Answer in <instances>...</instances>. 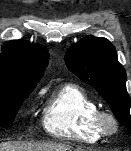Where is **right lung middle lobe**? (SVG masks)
<instances>
[{"instance_id": "1", "label": "right lung middle lobe", "mask_w": 131, "mask_h": 151, "mask_svg": "<svg viewBox=\"0 0 131 151\" xmlns=\"http://www.w3.org/2000/svg\"><path fill=\"white\" fill-rule=\"evenodd\" d=\"M34 86L0 84V127L11 124Z\"/></svg>"}]
</instances>
